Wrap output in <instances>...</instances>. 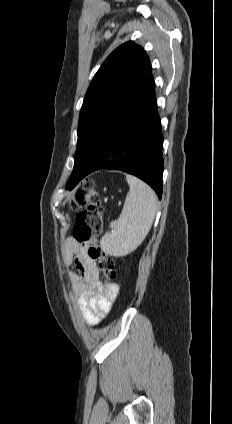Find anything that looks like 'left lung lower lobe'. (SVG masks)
I'll return each instance as SVG.
<instances>
[{
    "label": "left lung lower lobe",
    "instance_id": "0a47b994",
    "mask_svg": "<svg viewBox=\"0 0 232 424\" xmlns=\"http://www.w3.org/2000/svg\"><path fill=\"white\" fill-rule=\"evenodd\" d=\"M163 135L157 112L155 84L150 75L92 147L81 175L71 176L72 190L98 169L122 170L148 183L162 196Z\"/></svg>",
    "mask_w": 232,
    "mask_h": 424
}]
</instances>
